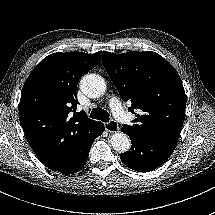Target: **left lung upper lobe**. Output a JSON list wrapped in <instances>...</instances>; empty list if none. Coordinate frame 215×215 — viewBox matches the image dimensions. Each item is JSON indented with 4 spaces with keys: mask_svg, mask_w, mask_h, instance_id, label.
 Returning a JSON list of instances; mask_svg holds the SVG:
<instances>
[{
    "mask_svg": "<svg viewBox=\"0 0 215 215\" xmlns=\"http://www.w3.org/2000/svg\"><path fill=\"white\" fill-rule=\"evenodd\" d=\"M102 63L121 98L139 109L126 134L146 139H178L185 118L186 95L182 81L162 56L152 51L102 53Z\"/></svg>",
    "mask_w": 215,
    "mask_h": 215,
    "instance_id": "1",
    "label": "left lung upper lobe"
}]
</instances>
